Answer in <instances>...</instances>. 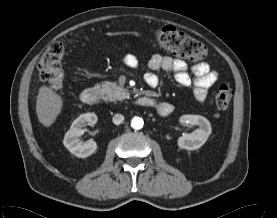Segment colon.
Listing matches in <instances>:
<instances>
[{
	"instance_id": "obj_1",
	"label": "colon",
	"mask_w": 277,
	"mask_h": 218,
	"mask_svg": "<svg viewBox=\"0 0 277 218\" xmlns=\"http://www.w3.org/2000/svg\"><path fill=\"white\" fill-rule=\"evenodd\" d=\"M155 41L160 48L176 56L198 61L206 56L205 46L197 39L172 27L159 28ZM65 44L61 41L52 43L42 54L38 62L40 79L52 89H60L64 81L62 60ZM233 89L226 84L220 85L214 94L215 106L218 110H226L231 103Z\"/></svg>"
}]
</instances>
